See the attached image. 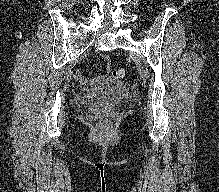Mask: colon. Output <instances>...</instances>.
<instances>
[{
	"label": "colon",
	"instance_id": "colon-1",
	"mask_svg": "<svg viewBox=\"0 0 219 192\" xmlns=\"http://www.w3.org/2000/svg\"><path fill=\"white\" fill-rule=\"evenodd\" d=\"M111 74H112L113 78H115V79H123L125 77L126 72H125L124 68L120 67V68L113 69ZM99 124L105 125L106 121L104 119H100Z\"/></svg>",
	"mask_w": 219,
	"mask_h": 192
}]
</instances>
